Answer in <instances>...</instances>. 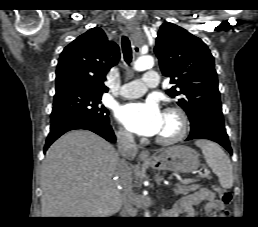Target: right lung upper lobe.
I'll return each mask as SVG.
<instances>
[{"label": "right lung upper lobe", "instance_id": "right-lung-upper-lobe-1", "mask_svg": "<svg viewBox=\"0 0 258 227\" xmlns=\"http://www.w3.org/2000/svg\"><path fill=\"white\" fill-rule=\"evenodd\" d=\"M120 59L119 47L104 31L92 28L64 48L56 70V94L78 90L107 92L106 74Z\"/></svg>", "mask_w": 258, "mask_h": 227}]
</instances>
